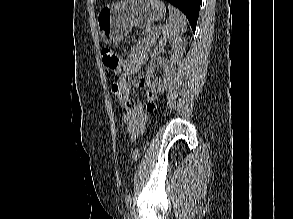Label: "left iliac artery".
<instances>
[{"label":"left iliac artery","instance_id":"obj_1","mask_svg":"<svg viewBox=\"0 0 293 219\" xmlns=\"http://www.w3.org/2000/svg\"><path fill=\"white\" fill-rule=\"evenodd\" d=\"M131 199V195L128 194L126 197H125V204H126V207L128 208V204H129V201Z\"/></svg>","mask_w":293,"mask_h":219}]
</instances>
